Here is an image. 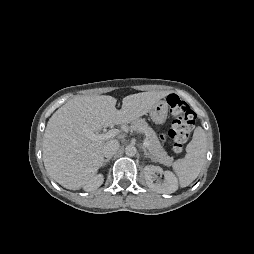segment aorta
Returning a JSON list of instances; mask_svg holds the SVG:
<instances>
[{"instance_id": "1", "label": "aorta", "mask_w": 254, "mask_h": 254, "mask_svg": "<svg viewBox=\"0 0 254 254\" xmlns=\"http://www.w3.org/2000/svg\"><path fill=\"white\" fill-rule=\"evenodd\" d=\"M136 152H137V149H136V147L134 145H128L125 148V154L127 156H130V157L131 156H135Z\"/></svg>"}]
</instances>
